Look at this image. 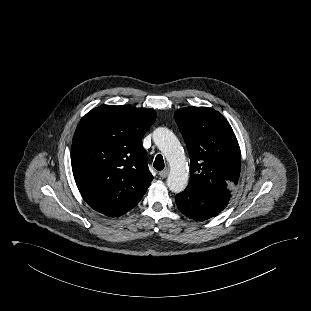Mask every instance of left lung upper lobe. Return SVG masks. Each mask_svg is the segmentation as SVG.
Instances as JSON below:
<instances>
[{"instance_id":"5c2ea615","label":"left lung upper lobe","mask_w":311,"mask_h":311,"mask_svg":"<svg viewBox=\"0 0 311 311\" xmlns=\"http://www.w3.org/2000/svg\"><path fill=\"white\" fill-rule=\"evenodd\" d=\"M174 117L190 157L188 186L229 201L241 166L240 148L230 124L208 107L181 108Z\"/></svg>"}]
</instances>
